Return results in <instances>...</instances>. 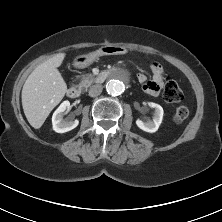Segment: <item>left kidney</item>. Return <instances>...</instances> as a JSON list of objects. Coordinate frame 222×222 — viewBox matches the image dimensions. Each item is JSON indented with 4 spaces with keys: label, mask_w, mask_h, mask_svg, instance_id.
Here are the masks:
<instances>
[{
    "label": "left kidney",
    "mask_w": 222,
    "mask_h": 222,
    "mask_svg": "<svg viewBox=\"0 0 222 222\" xmlns=\"http://www.w3.org/2000/svg\"><path fill=\"white\" fill-rule=\"evenodd\" d=\"M149 106L151 108L155 109L153 120L143 122L142 120L137 119L136 124L141 130H143L145 132L153 133L158 130V128L162 122L164 112H163V108L159 104L151 102V103H149Z\"/></svg>",
    "instance_id": "5707ae66"
}]
</instances>
